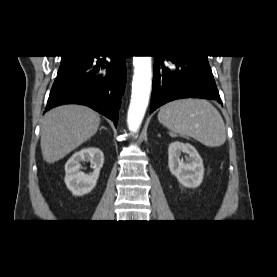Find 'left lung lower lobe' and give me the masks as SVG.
I'll use <instances>...</instances> for the list:
<instances>
[{
    "instance_id": "left-lung-lower-lobe-1",
    "label": "left lung lower lobe",
    "mask_w": 277,
    "mask_h": 277,
    "mask_svg": "<svg viewBox=\"0 0 277 277\" xmlns=\"http://www.w3.org/2000/svg\"><path fill=\"white\" fill-rule=\"evenodd\" d=\"M164 57L171 62L170 66L163 64ZM180 98H205L221 103L207 56L181 55L155 58L150 112Z\"/></svg>"
}]
</instances>
